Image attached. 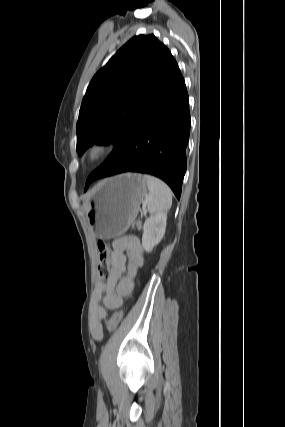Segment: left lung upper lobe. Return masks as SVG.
Instances as JSON below:
<instances>
[{
    "instance_id": "left-lung-upper-lobe-1",
    "label": "left lung upper lobe",
    "mask_w": 285,
    "mask_h": 427,
    "mask_svg": "<svg viewBox=\"0 0 285 427\" xmlns=\"http://www.w3.org/2000/svg\"><path fill=\"white\" fill-rule=\"evenodd\" d=\"M172 55L154 35L130 39L91 80L77 122V151L120 144L146 106Z\"/></svg>"
}]
</instances>
